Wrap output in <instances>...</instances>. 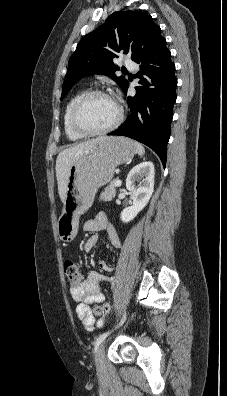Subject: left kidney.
<instances>
[{"label":"left kidney","instance_id":"5707ae66","mask_svg":"<svg viewBox=\"0 0 227 396\" xmlns=\"http://www.w3.org/2000/svg\"><path fill=\"white\" fill-rule=\"evenodd\" d=\"M154 165L150 161L142 162L127 175L126 188L133 194V204L120 214L124 223L132 221L138 213L147 205L154 191ZM136 182L139 183L136 185Z\"/></svg>","mask_w":227,"mask_h":396}]
</instances>
